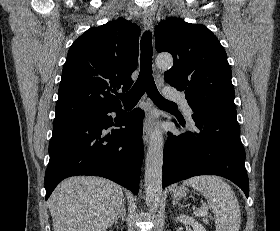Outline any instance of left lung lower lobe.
<instances>
[{
  "label": "left lung lower lobe",
  "mask_w": 280,
  "mask_h": 231,
  "mask_svg": "<svg viewBox=\"0 0 280 231\" xmlns=\"http://www.w3.org/2000/svg\"><path fill=\"white\" fill-rule=\"evenodd\" d=\"M192 118L196 131L180 135L168 133L162 187L193 176L218 175L237 184L248 197L245 151L236 115L194 112Z\"/></svg>",
  "instance_id": "1"
}]
</instances>
